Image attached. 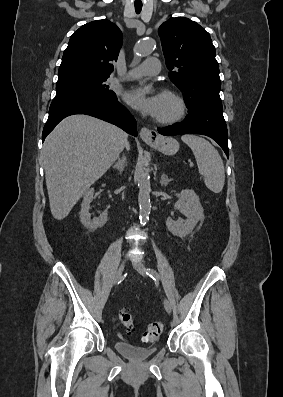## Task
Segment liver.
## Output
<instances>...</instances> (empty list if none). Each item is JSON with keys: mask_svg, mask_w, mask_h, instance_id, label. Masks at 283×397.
I'll list each match as a JSON object with an SVG mask.
<instances>
[{"mask_svg": "<svg viewBox=\"0 0 283 397\" xmlns=\"http://www.w3.org/2000/svg\"><path fill=\"white\" fill-rule=\"evenodd\" d=\"M118 127L88 115L62 120L43 145V164L53 217L62 220L110 168L126 146ZM129 149V145L126 146Z\"/></svg>", "mask_w": 283, "mask_h": 397, "instance_id": "obj_1", "label": "liver"}]
</instances>
